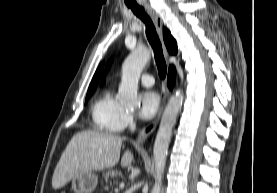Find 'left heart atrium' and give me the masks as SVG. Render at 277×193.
<instances>
[{"label": "left heart atrium", "instance_id": "obj_1", "mask_svg": "<svg viewBox=\"0 0 277 193\" xmlns=\"http://www.w3.org/2000/svg\"><path fill=\"white\" fill-rule=\"evenodd\" d=\"M160 108V97L154 91H144L140 95L139 115L145 120L152 119Z\"/></svg>", "mask_w": 277, "mask_h": 193}]
</instances>
